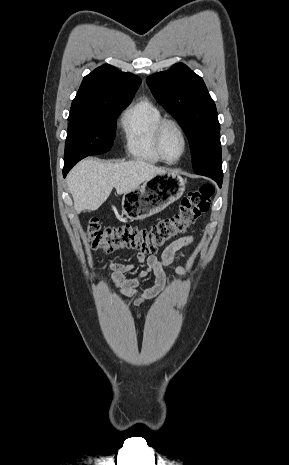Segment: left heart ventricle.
Listing matches in <instances>:
<instances>
[{"mask_svg": "<svg viewBox=\"0 0 289 465\" xmlns=\"http://www.w3.org/2000/svg\"><path fill=\"white\" fill-rule=\"evenodd\" d=\"M183 150V141L173 126H168L165 130L163 137V151L167 158L174 160L176 159Z\"/></svg>", "mask_w": 289, "mask_h": 465, "instance_id": "b2bd125f", "label": "left heart ventricle"}]
</instances>
